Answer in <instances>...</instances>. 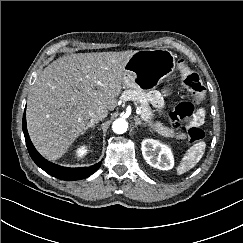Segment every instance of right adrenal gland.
<instances>
[{
  "mask_svg": "<svg viewBox=\"0 0 243 243\" xmlns=\"http://www.w3.org/2000/svg\"><path fill=\"white\" fill-rule=\"evenodd\" d=\"M97 123H98V121H93V120H91V121L88 123L86 130H88V129H90V128L95 129V124H97Z\"/></svg>",
  "mask_w": 243,
  "mask_h": 243,
  "instance_id": "right-adrenal-gland-1",
  "label": "right adrenal gland"
}]
</instances>
